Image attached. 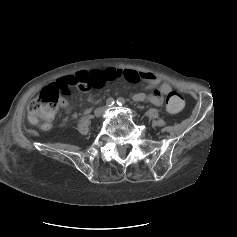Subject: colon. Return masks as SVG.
<instances>
[{"label":"colon","instance_id":"obj_1","mask_svg":"<svg viewBox=\"0 0 237 237\" xmlns=\"http://www.w3.org/2000/svg\"><path fill=\"white\" fill-rule=\"evenodd\" d=\"M102 77L94 72L78 73L75 76L59 80L44 88L34 98L28 107V120L32 126L46 130L53 119L59 106L70 97L73 87L86 91L91 87L100 85ZM184 106V99L181 94L171 91L166 100V108L170 113H178Z\"/></svg>","mask_w":237,"mask_h":237}]
</instances>
